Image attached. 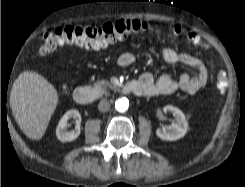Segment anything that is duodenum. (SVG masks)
Returning a JSON list of instances; mask_svg holds the SVG:
<instances>
[{"label":"duodenum","instance_id":"410a0bca","mask_svg":"<svg viewBox=\"0 0 245 187\" xmlns=\"http://www.w3.org/2000/svg\"><path fill=\"white\" fill-rule=\"evenodd\" d=\"M122 91L140 97L144 94L143 85L137 80H129L124 83ZM100 96V92L95 87L79 86L74 90L73 99L78 104H89Z\"/></svg>","mask_w":245,"mask_h":187}]
</instances>
